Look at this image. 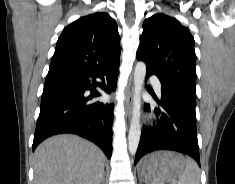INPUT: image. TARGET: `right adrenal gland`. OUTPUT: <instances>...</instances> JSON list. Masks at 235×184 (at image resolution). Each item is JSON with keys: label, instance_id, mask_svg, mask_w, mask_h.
I'll use <instances>...</instances> for the list:
<instances>
[{"label": "right adrenal gland", "instance_id": "obj_1", "mask_svg": "<svg viewBox=\"0 0 235 184\" xmlns=\"http://www.w3.org/2000/svg\"><path fill=\"white\" fill-rule=\"evenodd\" d=\"M101 184H104V180H102Z\"/></svg>", "mask_w": 235, "mask_h": 184}]
</instances>
